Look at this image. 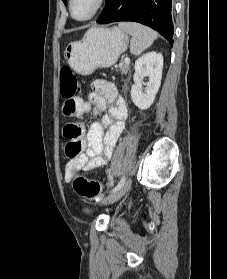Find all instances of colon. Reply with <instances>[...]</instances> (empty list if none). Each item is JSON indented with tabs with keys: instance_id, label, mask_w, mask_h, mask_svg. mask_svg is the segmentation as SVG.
<instances>
[{
	"instance_id": "5ec220e1",
	"label": "colon",
	"mask_w": 227,
	"mask_h": 279,
	"mask_svg": "<svg viewBox=\"0 0 227 279\" xmlns=\"http://www.w3.org/2000/svg\"><path fill=\"white\" fill-rule=\"evenodd\" d=\"M60 77L61 94L66 100L63 106V113L66 117H73L79 107L77 93L80 90V81L69 68H62ZM79 133V128L71 124L66 125L64 128V135L69 140L65 147L66 155L69 158H75L80 153L79 144L73 141ZM73 188L80 198L87 201L97 200L102 192V184L99 181L90 180L80 175L73 178Z\"/></svg>"
}]
</instances>
